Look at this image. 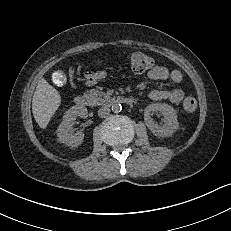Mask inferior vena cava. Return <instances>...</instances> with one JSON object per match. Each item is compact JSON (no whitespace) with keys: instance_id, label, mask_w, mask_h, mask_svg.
<instances>
[{"instance_id":"inferior-vena-cava-1","label":"inferior vena cava","mask_w":231,"mask_h":231,"mask_svg":"<svg viewBox=\"0 0 231 231\" xmlns=\"http://www.w3.org/2000/svg\"><path fill=\"white\" fill-rule=\"evenodd\" d=\"M110 114V109L107 106H103L98 110V115L101 118H105Z\"/></svg>"}]
</instances>
